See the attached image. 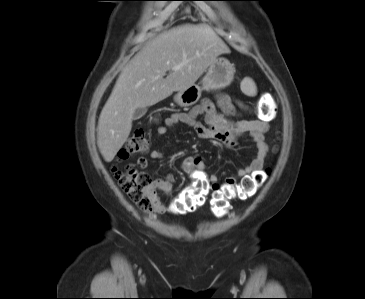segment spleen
<instances>
[{
  "label": "spleen",
  "instance_id": "1",
  "mask_svg": "<svg viewBox=\"0 0 365 299\" xmlns=\"http://www.w3.org/2000/svg\"><path fill=\"white\" fill-rule=\"evenodd\" d=\"M241 87L244 93L248 96H255L256 95V85L250 78H245L242 81Z\"/></svg>",
  "mask_w": 365,
  "mask_h": 299
}]
</instances>
